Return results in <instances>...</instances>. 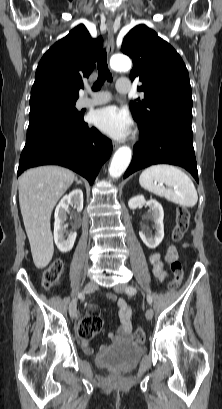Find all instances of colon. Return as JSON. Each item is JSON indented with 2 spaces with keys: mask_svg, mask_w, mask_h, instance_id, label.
Returning <instances> with one entry per match:
<instances>
[{
  "mask_svg": "<svg viewBox=\"0 0 222 409\" xmlns=\"http://www.w3.org/2000/svg\"><path fill=\"white\" fill-rule=\"evenodd\" d=\"M190 222V213L184 208H178L176 212L175 224L172 230V240L179 242L187 232ZM170 268L173 273V280L169 283L170 289H175L183 276V268L181 263L174 259L170 261ZM63 271V262L61 259L54 260L48 268H46L41 277V284L44 289L49 290L53 288L59 281ZM97 310L90 309L88 311L89 317L84 318L78 325V335L80 339L90 341L102 327V322L96 318H91V315L97 313ZM135 339L137 342L145 340V333L141 327L135 331Z\"/></svg>",
  "mask_w": 222,
  "mask_h": 409,
  "instance_id": "colon-1",
  "label": "colon"
}]
</instances>
